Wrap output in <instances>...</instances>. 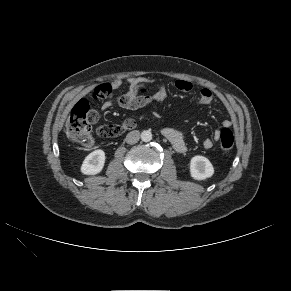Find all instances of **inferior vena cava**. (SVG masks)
Masks as SVG:
<instances>
[{
	"mask_svg": "<svg viewBox=\"0 0 291 291\" xmlns=\"http://www.w3.org/2000/svg\"><path fill=\"white\" fill-rule=\"evenodd\" d=\"M139 139H140V132L137 130H134L127 134L125 140L128 144H135L139 141Z\"/></svg>",
	"mask_w": 291,
	"mask_h": 291,
	"instance_id": "1",
	"label": "inferior vena cava"
}]
</instances>
